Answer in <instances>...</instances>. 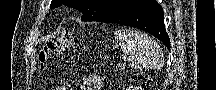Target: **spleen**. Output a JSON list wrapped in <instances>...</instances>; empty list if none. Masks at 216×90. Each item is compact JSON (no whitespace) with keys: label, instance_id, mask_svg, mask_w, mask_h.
Segmentation results:
<instances>
[{"label":"spleen","instance_id":"obj_1","mask_svg":"<svg viewBox=\"0 0 216 90\" xmlns=\"http://www.w3.org/2000/svg\"><path fill=\"white\" fill-rule=\"evenodd\" d=\"M114 36L121 48L123 60L131 68L147 70L159 66L161 48L151 36L139 30H118Z\"/></svg>","mask_w":216,"mask_h":90}]
</instances>
